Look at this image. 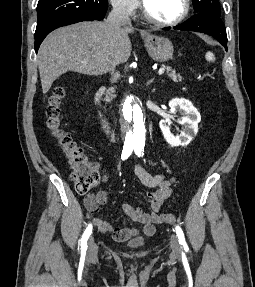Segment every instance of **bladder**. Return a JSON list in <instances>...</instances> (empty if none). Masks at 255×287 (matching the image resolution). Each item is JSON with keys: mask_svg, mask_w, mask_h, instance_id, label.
Instances as JSON below:
<instances>
[{"mask_svg": "<svg viewBox=\"0 0 255 287\" xmlns=\"http://www.w3.org/2000/svg\"><path fill=\"white\" fill-rule=\"evenodd\" d=\"M127 243L130 247H141L145 243V239L142 236H134L127 240Z\"/></svg>", "mask_w": 255, "mask_h": 287, "instance_id": "bladder-1", "label": "bladder"}]
</instances>
